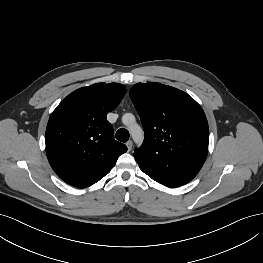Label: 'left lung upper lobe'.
<instances>
[{"label": "left lung upper lobe", "instance_id": "5c2ea615", "mask_svg": "<svg viewBox=\"0 0 263 263\" xmlns=\"http://www.w3.org/2000/svg\"><path fill=\"white\" fill-rule=\"evenodd\" d=\"M129 95L145 133L133 154L136 161L147 168L174 163L198 173L209 141L201 106L185 92L160 83H138Z\"/></svg>", "mask_w": 263, "mask_h": 263}]
</instances>
